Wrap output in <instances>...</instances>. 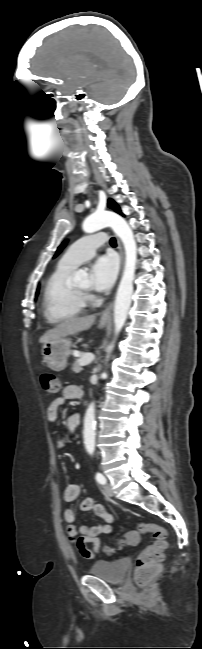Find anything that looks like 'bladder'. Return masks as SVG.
Returning a JSON list of instances; mask_svg holds the SVG:
<instances>
[{
    "label": "bladder",
    "mask_w": 202,
    "mask_h": 649,
    "mask_svg": "<svg viewBox=\"0 0 202 649\" xmlns=\"http://www.w3.org/2000/svg\"><path fill=\"white\" fill-rule=\"evenodd\" d=\"M130 567L127 558H119L113 561H97L90 569L91 576L102 579L112 584H118L124 580Z\"/></svg>",
    "instance_id": "31cf9c89"
}]
</instances>
